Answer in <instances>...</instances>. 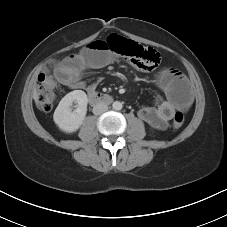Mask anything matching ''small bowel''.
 <instances>
[{
  "label": "small bowel",
  "mask_w": 227,
  "mask_h": 227,
  "mask_svg": "<svg viewBox=\"0 0 227 227\" xmlns=\"http://www.w3.org/2000/svg\"><path fill=\"white\" fill-rule=\"evenodd\" d=\"M114 59L110 44L105 40L94 39L78 53L65 58L57 67L56 73L65 86L71 89H85L91 93L94 92L97 82L83 80V72L87 68L105 67ZM157 83L165 97H159L153 106L142 107L138 116L151 127L165 130L176 110L190 108L193 97L188 80L178 70L162 69L157 74Z\"/></svg>",
  "instance_id": "1"
}]
</instances>
